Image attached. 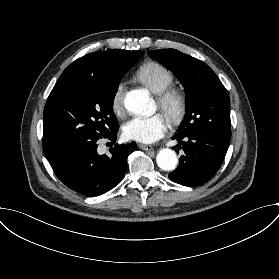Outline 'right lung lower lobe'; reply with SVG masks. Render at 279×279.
<instances>
[{
    "mask_svg": "<svg viewBox=\"0 0 279 279\" xmlns=\"http://www.w3.org/2000/svg\"><path fill=\"white\" fill-rule=\"evenodd\" d=\"M119 129V127H118ZM118 129L107 137L114 143ZM136 143L116 144L111 149L112 155H99L96 142L70 148L49 160L56 176L70 189L87 197L101 195L124 178L127 157Z\"/></svg>",
    "mask_w": 279,
    "mask_h": 279,
    "instance_id": "obj_1",
    "label": "right lung lower lobe"
}]
</instances>
